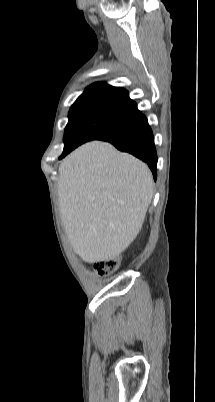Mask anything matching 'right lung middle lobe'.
Returning <instances> with one entry per match:
<instances>
[{
    "mask_svg": "<svg viewBox=\"0 0 215 402\" xmlns=\"http://www.w3.org/2000/svg\"><path fill=\"white\" fill-rule=\"evenodd\" d=\"M140 116L132 102L107 95L78 97L69 111L60 159L87 141L116 137Z\"/></svg>",
    "mask_w": 215,
    "mask_h": 402,
    "instance_id": "dd1d6c3e",
    "label": "right lung middle lobe"
}]
</instances>
